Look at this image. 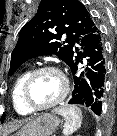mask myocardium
Masks as SVG:
<instances>
[{"label": "myocardium", "instance_id": "obj_1", "mask_svg": "<svg viewBox=\"0 0 117 136\" xmlns=\"http://www.w3.org/2000/svg\"><path fill=\"white\" fill-rule=\"evenodd\" d=\"M43 72L56 73L63 82V90H62V93L60 94V96L57 99H55L54 101H52L46 105L37 106L32 102L30 92H31V87H32V83H33L34 79L39 74H41ZM69 90H70L69 80H68L67 76L59 68L54 67V66H42V67L36 68L32 72H30V74L28 75V77L24 83V87H23V101H24L25 105L32 112L46 111V110H49V109L57 106L61 102H63L64 99L67 97Z\"/></svg>", "mask_w": 117, "mask_h": 136}]
</instances>
